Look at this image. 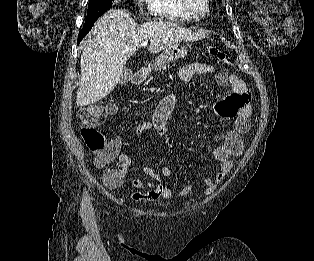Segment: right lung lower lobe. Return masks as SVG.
I'll return each instance as SVG.
<instances>
[{
	"label": "right lung lower lobe",
	"instance_id": "obj_1",
	"mask_svg": "<svg viewBox=\"0 0 314 261\" xmlns=\"http://www.w3.org/2000/svg\"><path fill=\"white\" fill-rule=\"evenodd\" d=\"M94 23L90 25H84L83 28L79 32L77 44L82 40V38L91 30Z\"/></svg>",
	"mask_w": 314,
	"mask_h": 261
}]
</instances>
